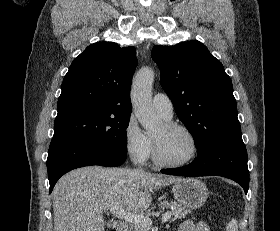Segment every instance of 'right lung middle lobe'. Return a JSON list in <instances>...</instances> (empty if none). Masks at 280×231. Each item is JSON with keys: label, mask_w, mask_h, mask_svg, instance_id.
<instances>
[{"label": "right lung middle lobe", "mask_w": 280, "mask_h": 231, "mask_svg": "<svg viewBox=\"0 0 280 231\" xmlns=\"http://www.w3.org/2000/svg\"><path fill=\"white\" fill-rule=\"evenodd\" d=\"M130 114H100L55 121L53 139H76L127 154Z\"/></svg>", "instance_id": "1"}]
</instances>
